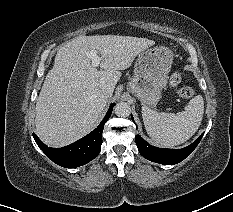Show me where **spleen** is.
<instances>
[{"label":"spleen","instance_id":"obj_1","mask_svg":"<svg viewBox=\"0 0 233 212\" xmlns=\"http://www.w3.org/2000/svg\"><path fill=\"white\" fill-rule=\"evenodd\" d=\"M204 113L201 95L192 98L185 111L174 113L157 112L142 107V118L148 135L157 144L173 147L190 139L198 130Z\"/></svg>","mask_w":233,"mask_h":212}]
</instances>
